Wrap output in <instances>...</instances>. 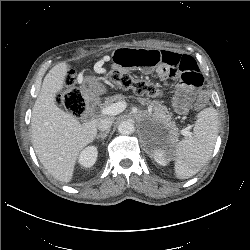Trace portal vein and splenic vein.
<instances>
[{"instance_id":"obj_1","label":"portal vein and splenic vein","mask_w":250,"mask_h":250,"mask_svg":"<svg viewBox=\"0 0 250 250\" xmlns=\"http://www.w3.org/2000/svg\"><path fill=\"white\" fill-rule=\"evenodd\" d=\"M126 106H127V103L125 101H118L116 103H113L111 105H108L102 108L101 114L104 116L105 115H109V116L118 115L125 110ZM180 133L186 137L190 136V132L188 128L182 129Z\"/></svg>"}]
</instances>
